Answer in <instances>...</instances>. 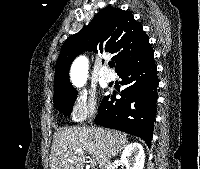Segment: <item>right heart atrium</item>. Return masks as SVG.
I'll return each instance as SVG.
<instances>
[{"label": "right heart atrium", "instance_id": "right-heart-atrium-1", "mask_svg": "<svg viewBox=\"0 0 200 169\" xmlns=\"http://www.w3.org/2000/svg\"><path fill=\"white\" fill-rule=\"evenodd\" d=\"M98 111V100L94 92L81 91L75 95L70 117L73 122L80 123L94 116Z\"/></svg>", "mask_w": 200, "mask_h": 169}]
</instances>
